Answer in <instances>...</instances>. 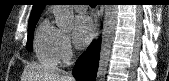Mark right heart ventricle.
<instances>
[{
	"label": "right heart ventricle",
	"mask_w": 169,
	"mask_h": 81,
	"mask_svg": "<svg viewBox=\"0 0 169 81\" xmlns=\"http://www.w3.org/2000/svg\"><path fill=\"white\" fill-rule=\"evenodd\" d=\"M60 32L47 21H43L37 28L33 41L35 55L39 62L48 66H55L59 62L57 55V41Z\"/></svg>",
	"instance_id": "1"
}]
</instances>
